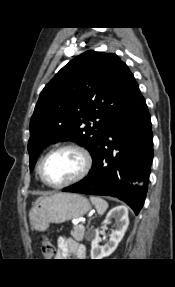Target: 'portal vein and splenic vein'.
<instances>
[{
	"label": "portal vein and splenic vein",
	"mask_w": 175,
	"mask_h": 287,
	"mask_svg": "<svg viewBox=\"0 0 175 287\" xmlns=\"http://www.w3.org/2000/svg\"><path fill=\"white\" fill-rule=\"evenodd\" d=\"M80 222H81V223H84V222H85V219L81 220ZM80 225H82V224H80Z\"/></svg>",
	"instance_id": "1"
}]
</instances>
